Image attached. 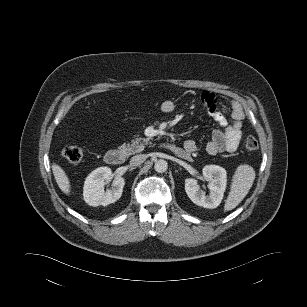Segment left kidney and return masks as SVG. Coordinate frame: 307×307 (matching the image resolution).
<instances>
[{"label":"left kidney","instance_id":"obj_1","mask_svg":"<svg viewBox=\"0 0 307 307\" xmlns=\"http://www.w3.org/2000/svg\"><path fill=\"white\" fill-rule=\"evenodd\" d=\"M203 177L209 180V195L200 190L197 180L187 178L185 180V191L190 200L201 207L214 209L221 203L227 185V174L223 167L218 165H207L202 169Z\"/></svg>","mask_w":307,"mask_h":307}]
</instances>
